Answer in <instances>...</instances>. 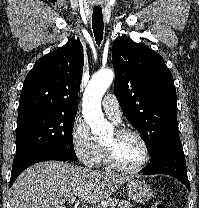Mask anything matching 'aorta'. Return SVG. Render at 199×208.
I'll return each mask as SVG.
<instances>
[{
	"label": "aorta",
	"instance_id": "1",
	"mask_svg": "<svg viewBox=\"0 0 199 208\" xmlns=\"http://www.w3.org/2000/svg\"><path fill=\"white\" fill-rule=\"evenodd\" d=\"M114 78L111 69L98 71L90 80L83 95V117L94 135H105L111 129L101 110V100Z\"/></svg>",
	"mask_w": 199,
	"mask_h": 208
}]
</instances>
